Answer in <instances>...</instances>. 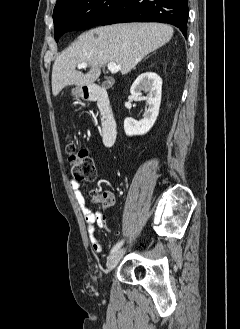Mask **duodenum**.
<instances>
[{"mask_svg":"<svg viewBox=\"0 0 240 329\" xmlns=\"http://www.w3.org/2000/svg\"><path fill=\"white\" fill-rule=\"evenodd\" d=\"M84 95L87 100L96 102L100 113L103 142L106 146H112L117 138L118 126L106 91L97 84H91L84 88Z\"/></svg>","mask_w":240,"mask_h":329,"instance_id":"obj_1","label":"duodenum"}]
</instances>
